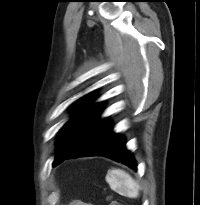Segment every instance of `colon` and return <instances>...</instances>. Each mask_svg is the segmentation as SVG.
Here are the masks:
<instances>
[{
    "mask_svg": "<svg viewBox=\"0 0 200 205\" xmlns=\"http://www.w3.org/2000/svg\"><path fill=\"white\" fill-rule=\"evenodd\" d=\"M109 205H122V204L117 201H110Z\"/></svg>",
    "mask_w": 200,
    "mask_h": 205,
    "instance_id": "obj_1",
    "label": "colon"
}]
</instances>
